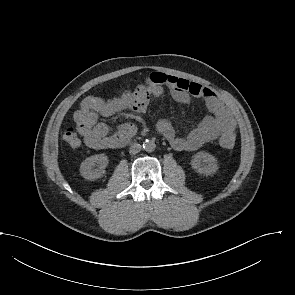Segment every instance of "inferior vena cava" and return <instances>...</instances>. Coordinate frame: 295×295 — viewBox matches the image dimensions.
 Instances as JSON below:
<instances>
[{
  "instance_id": "602c4592",
  "label": "inferior vena cava",
  "mask_w": 295,
  "mask_h": 295,
  "mask_svg": "<svg viewBox=\"0 0 295 295\" xmlns=\"http://www.w3.org/2000/svg\"><path fill=\"white\" fill-rule=\"evenodd\" d=\"M140 150H141V145L138 143H134L131 145L129 153L135 155V154L139 153Z\"/></svg>"
}]
</instances>
